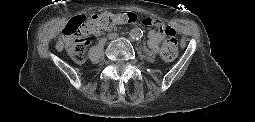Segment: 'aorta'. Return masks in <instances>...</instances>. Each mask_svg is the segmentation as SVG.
I'll list each match as a JSON object with an SVG mask.
<instances>
[{"label": "aorta", "instance_id": "aorta-1", "mask_svg": "<svg viewBox=\"0 0 255 122\" xmlns=\"http://www.w3.org/2000/svg\"><path fill=\"white\" fill-rule=\"evenodd\" d=\"M130 36L134 39L141 38L142 30L140 28H134L130 31Z\"/></svg>", "mask_w": 255, "mask_h": 122}]
</instances>
